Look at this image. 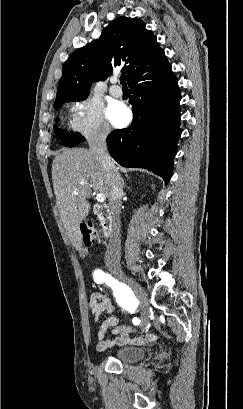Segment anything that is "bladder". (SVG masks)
I'll use <instances>...</instances> for the list:
<instances>
[{"label": "bladder", "instance_id": "obj_1", "mask_svg": "<svg viewBox=\"0 0 243 409\" xmlns=\"http://www.w3.org/2000/svg\"><path fill=\"white\" fill-rule=\"evenodd\" d=\"M145 355L144 349L137 346H125L113 351L112 357L123 363L129 364L141 360Z\"/></svg>", "mask_w": 243, "mask_h": 409}]
</instances>
